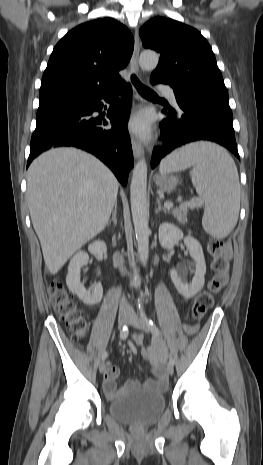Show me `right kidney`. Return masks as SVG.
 Returning a JSON list of instances; mask_svg holds the SVG:
<instances>
[{"label": "right kidney", "instance_id": "obj_1", "mask_svg": "<svg viewBox=\"0 0 263 465\" xmlns=\"http://www.w3.org/2000/svg\"><path fill=\"white\" fill-rule=\"evenodd\" d=\"M88 251L94 255L106 254L107 246L103 241H95L88 246ZM89 255L85 251L77 252L70 260L68 266V274L66 276V284L70 291L75 293L86 305H95L99 303L103 296V287L99 282L95 289L90 292L86 290L80 282L81 267L87 265Z\"/></svg>", "mask_w": 263, "mask_h": 465}]
</instances>
